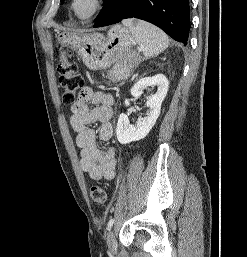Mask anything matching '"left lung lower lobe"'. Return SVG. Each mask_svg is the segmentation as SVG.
<instances>
[{
	"label": "left lung lower lobe",
	"mask_w": 247,
	"mask_h": 257,
	"mask_svg": "<svg viewBox=\"0 0 247 257\" xmlns=\"http://www.w3.org/2000/svg\"><path fill=\"white\" fill-rule=\"evenodd\" d=\"M93 25H111L126 18L148 21L185 46L189 36V0H107Z\"/></svg>",
	"instance_id": "obj_1"
}]
</instances>
